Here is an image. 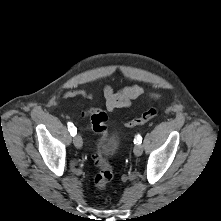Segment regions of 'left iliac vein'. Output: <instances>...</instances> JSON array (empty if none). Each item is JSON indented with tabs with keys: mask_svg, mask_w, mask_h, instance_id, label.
I'll use <instances>...</instances> for the list:
<instances>
[{
	"mask_svg": "<svg viewBox=\"0 0 221 221\" xmlns=\"http://www.w3.org/2000/svg\"><path fill=\"white\" fill-rule=\"evenodd\" d=\"M142 152H143V147H142V145H141V144L135 145V147H134V154H135L136 156H140V155L142 154Z\"/></svg>",
	"mask_w": 221,
	"mask_h": 221,
	"instance_id": "1",
	"label": "left iliac vein"
}]
</instances>
